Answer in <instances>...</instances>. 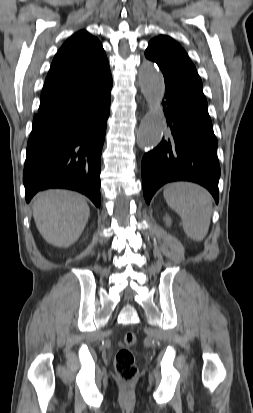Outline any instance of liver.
<instances>
[{"instance_id":"1","label":"liver","mask_w":253,"mask_h":413,"mask_svg":"<svg viewBox=\"0 0 253 413\" xmlns=\"http://www.w3.org/2000/svg\"><path fill=\"white\" fill-rule=\"evenodd\" d=\"M32 208L39 233L59 248H67L79 239L90 216L84 197L67 190L39 193Z\"/></svg>"}]
</instances>
